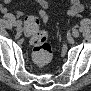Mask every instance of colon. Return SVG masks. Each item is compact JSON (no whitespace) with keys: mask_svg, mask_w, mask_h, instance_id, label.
<instances>
[{"mask_svg":"<svg viewBox=\"0 0 91 91\" xmlns=\"http://www.w3.org/2000/svg\"><path fill=\"white\" fill-rule=\"evenodd\" d=\"M48 20V16H27L25 18V34L30 39L32 46V58L39 67L46 66L52 58L51 45L48 42V35L40 29L41 22Z\"/></svg>","mask_w":91,"mask_h":91,"instance_id":"obj_1","label":"colon"}]
</instances>
